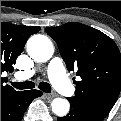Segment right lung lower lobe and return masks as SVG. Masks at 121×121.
Segmentation results:
<instances>
[{
    "mask_svg": "<svg viewBox=\"0 0 121 121\" xmlns=\"http://www.w3.org/2000/svg\"><path fill=\"white\" fill-rule=\"evenodd\" d=\"M39 90L17 91L1 101V121H21L31 101L40 97Z\"/></svg>",
    "mask_w": 121,
    "mask_h": 121,
    "instance_id": "right-lung-lower-lobe-1",
    "label": "right lung lower lobe"
}]
</instances>
